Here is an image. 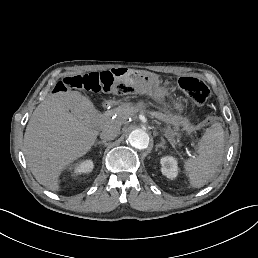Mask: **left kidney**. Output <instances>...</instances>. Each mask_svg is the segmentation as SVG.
<instances>
[{
	"label": "left kidney",
	"mask_w": 258,
	"mask_h": 258,
	"mask_svg": "<svg viewBox=\"0 0 258 258\" xmlns=\"http://www.w3.org/2000/svg\"><path fill=\"white\" fill-rule=\"evenodd\" d=\"M162 175L170 180H174L179 175L178 159L173 156H163L159 160Z\"/></svg>",
	"instance_id": "left-kidney-1"
}]
</instances>
